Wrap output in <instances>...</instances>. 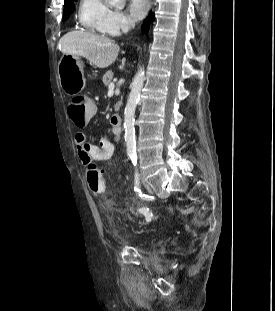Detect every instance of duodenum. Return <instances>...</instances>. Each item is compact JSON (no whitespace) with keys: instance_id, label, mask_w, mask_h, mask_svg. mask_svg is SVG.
Instances as JSON below:
<instances>
[{"instance_id":"duodenum-1","label":"duodenum","mask_w":275,"mask_h":311,"mask_svg":"<svg viewBox=\"0 0 275 311\" xmlns=\"http://www.w3.org/2000/svg\"><path fill=\"white\" fill-rule=\"evenodd\" d=\"M111 122L116 127H121V118L117 115L112 116Z\"/></svg>"}]
</instances>
